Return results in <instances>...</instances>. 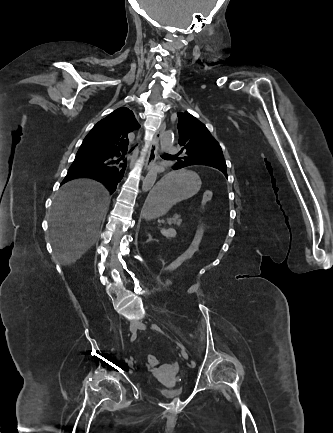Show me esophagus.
<instances>
[{
    "label": "esophagus",
    "mask_w": 333,
    "mask_h": 433,
    "mask_svg": "<svg viewBox=\"0 0 333 433\" xmlns=\"http://www.w3.org/2000/svg\"><path fill=\"white\" fill-rule=\"evenodd\" d=\"M164 130V127L162 126L154 135L153 140L151 141L150 147H149V151H148V155L147 158L145 160V164H144V168L146 171L150 170L152 168V166L154 165L156 159H157V154H158V150H159V142H160V138H161V132Z\"/></svg>",
    "instance_id": "34e87169"
}]
</instances>
